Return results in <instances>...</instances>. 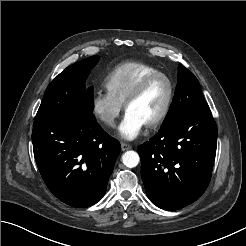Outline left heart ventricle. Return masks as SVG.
Returning a JSON list of instances; mask_svg holds the SVG:
<instances>
[{
  "instance_id": "obj_1",
  "label": "left heart ventricle",
  "mask_w": 246,
  "mask_h": 246,
  "mask_svg": "<svg viewBox=\"0 0 246 246\" xmlns=\"http://www.w3.org/2000/svg\"><path fill=\"white\" fill-rule=\"evenodd\" d=\"M167 96V82L162 78L155 79L142 95L129 105L127 111L133 112L147 124L161 113Z\"/></svg>"
}]
</instances>
